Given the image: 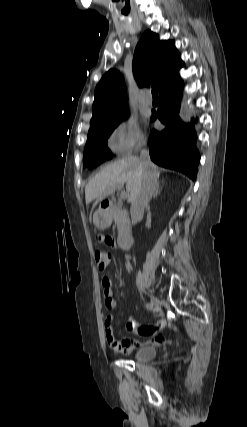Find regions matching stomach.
Returning <instances> with one entry per match:
<instances>
[{"mask_svg":"<svg viewBox=\"0 0 247 427\" xmlns=\"http://www.w3.org/2000/svg\"><path fill=\"white\" fill-rule=\"evenodd\" d=\"M93 222L94 225L98 228V229H106L111 225L112 222V218H111V214L109 211L103 210V209H99L98 211H96L93 215Z\"/></svg>","mask_w":247,"mask_h":427,"instance_id":"obj_1","label":"stomach"}]
</instances>
